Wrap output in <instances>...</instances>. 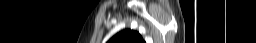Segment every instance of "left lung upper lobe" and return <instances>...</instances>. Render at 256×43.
I'll return each instance as SVG.
<instances>
[{
	"label": "left lung upper lobe",
	"instance_id": "left-lung-upper-lobe-1",
	"mask_svg": "<svg viewBox=\"0 0 256 43\" xmlns=\"http://www.w3.org/2000/svg\"><path fill=\"white\" fill-rule=\"evenodd\" d=\"M108 43H145L138 32L123 30L112 37Z\"/></svg>",
	"mask_w": 256,
	"mask_h": 43
}]
</instances>
